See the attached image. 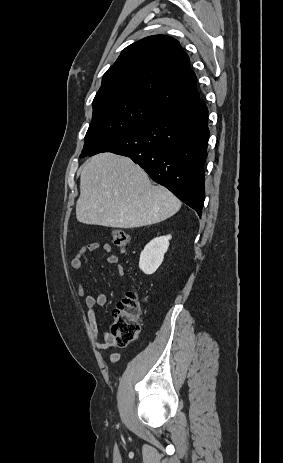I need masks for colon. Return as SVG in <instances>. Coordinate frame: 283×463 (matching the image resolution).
I'll return each mask as SVG.
<instances>
[{
    "mask_svg": "<svg viewBox=\"0 0 283 463\" xmlns=\"http://www.w3.org/2000/svg\"><path fill=\"white\" fill-rule=\"evenodd\" d=\"M111 239L122 251L130 245V236L122 229H113ZM142 313V298L136 292L128 291L112 313L111 335L117 345L125 346L139 337Z\"/></svg>",
    "mask_w": 283,
    "mask_h": 463,
    "instance_id": "obj_1",
    "label": "colon"
}]
</instances>
